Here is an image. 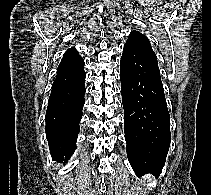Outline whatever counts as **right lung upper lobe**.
<instances>
[{
  "label": "right lung upper lobe",
  "mask_w": 211,
  "mask_h": 195,
  "mask_svg": "<svg viewBox=\"0 0 211 195\" xmlns=\"http://www.w3.org/2000/svg\"><path fill=\"white\" fill-rule=\"evenodd\" d=\"M84 65L83 58L75 48L68 49L57 68V74H63L75 70Z\"/></svg>",
  "instance_id": "right-lung-upper-lobe-1"
}]
</instances>
